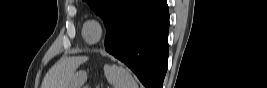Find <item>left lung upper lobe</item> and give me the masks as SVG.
Wrapping results in <instances>:
<instances>
[{
	"label": "left lung upper lobe",
	"mask_w": 267,
	"mask_h": 88,
	"mask_svg": "<svg viewBox=\"0 0 267 88\" xmlns=\"http://www.w3.org/2000/svg\"><path fill=\"white\" fill-rule=\"evenodd\" d=\"M104 21L107 30L136 0H84Z\"/></svg>",
	"instance_id": "obj_1"
}]
</instances>
